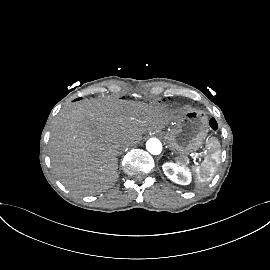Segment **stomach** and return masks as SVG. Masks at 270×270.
I'll return each instance as SVG.
<instances>
[{
    "mask_svg": "<svg viewBox=\"0 0 270 270\" xmlns=\"http://www.w3.org/2000/svg\"><path fill=\"white\" fill-rule=\"evenodd\" d=\"M207 133L206 115L199 110L190 109L180 114L171 129L164 134L168 146L184 161L186 156L200 148Z\"/></svg>",
    "mask_w": 270,
    "mask_h": 270,
    "instance_id": "1",
    "label": "stomach"
}]
</instances>
